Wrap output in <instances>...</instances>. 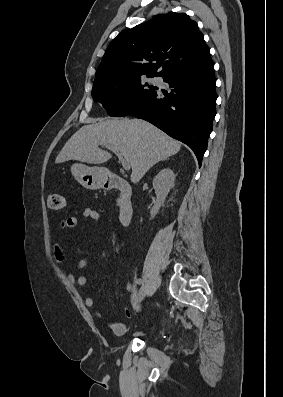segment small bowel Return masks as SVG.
Instances as JSON below:
<instances>
[{"mask_svg": "<svg viewBox=\"0 0 283 397\" xmlns=\"http://www.w3.org/2000/svg\"><path fill=\"white\" fill-rule=\"evenodd\" d=\"M80 218L88 219L93 222H99L101 219V215L97 210L92 209L90 207L71 209L69 211V214L60 221L58 225L59 230L73 229L77 225L78 220ZM52 257L54 261L57 263H61L65 259L64 250L60 245V243L58 242L54 243L53 245ZM87 265H88V261L86 259H81L77 262L78 269H84L87 267ZM67 280L71 285L75 287H82L88 283V278L84 275L77 276L75 274H68ZM127 289L132 294L130 300V308H126V314L127 316H130L132 313H138L140 311V307L136 296L135 285L129 282L127 285ZM85 305L88 308L92 309V313L95 317H97L98 319H104L103 314L99 310L94 308L95 299L92 296H88L85 298ZM108 325L116 336H122L126 332V326L122 322L110 320L108 321Z\"/></svg>", "mask_w": 283, "mask_h": 397, "instance_id": "obj_1", "label": "small bowel"}]
</instances>
